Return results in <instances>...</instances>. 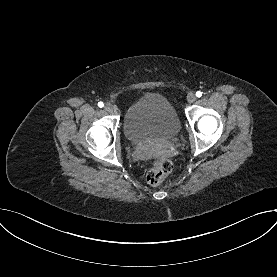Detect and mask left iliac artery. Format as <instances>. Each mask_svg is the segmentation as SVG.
Instances as JSON below:
<instances>
[{
	"label": "left iliac artery",
	"mask_w": 277,
	"mask_h": 277,
	"mask_svg": "<svg viewBox=\"0 0 277 277\" xmlns=\"http://www.w3.org/2000/svg\"><path fill=\"white\" fill-rule=\"evenodd\" d=\"M196 96H197V97H201V96H202V92L197 91V92H196Z\"/></svg>",
	"instance_id": "obj_1"
}]
</instances>
